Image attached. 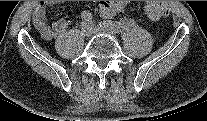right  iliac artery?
<instances>
[{"mask_svg":"<svg viewBox=\"0 0 207 121\" xmlns=\"http://www.w3.org/2000/svg\"><path fill=\"white\" fill-rule=\"evenodd\" d=\"M82 19L86 22L91 24L92 22V14L90 12L84 11L81 15Z\"/></svg>","mask_w":207,"mask_h":121,"instance_id":"82829eb1","label":"right iliac artery"}]
</instances>
